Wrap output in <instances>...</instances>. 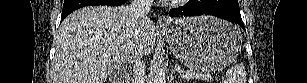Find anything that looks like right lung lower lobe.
<instances>
[{
    "instance_id": "98d812e1",
    "label": "right lung lower lobe",
    "mask_w": 307,
    "mask_h": 83,
    "mask_svg": "<svg viewBox=\"0 0 307 83\" xmlns=\"http://www.w3.org/2000/svg\"><path fill=\"white\" fill-rule=\"evenodd\" d=\"M126 0H64L61 21L76 9L93 5H122Z\"/></svg>"
}]
</instances>
